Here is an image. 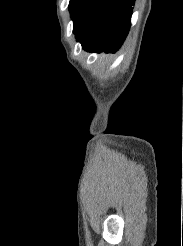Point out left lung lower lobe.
<instances>
[{"label":"left lung lower lobe","instance_id":"0a47b994","mask_svg":"<svg viewBox=\"0 0 183 246\" xmlns=\"http://www.w3.org/2000/svg\"><path fill=\"white\" fill-rule=\"evenodd\" d=\"M135 0H71L73 33L89 52H115L131 26Z\"/></svg>","mask_w":183,"mask_h":246}]
</instances>
